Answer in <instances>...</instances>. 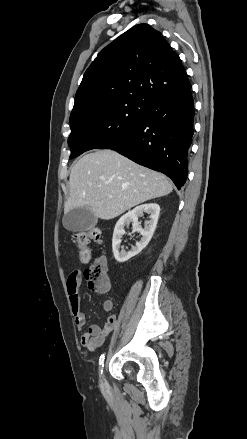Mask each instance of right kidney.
Returning a JSON list of instances; mask_svg holds the SVG:
<instances>
[{"label": "right kidney", "instance_id": "obj_1", "mask_svg": "<svg viewBox=\"0 0 247 439\" xmlns=\"http://www.w3.org/2000/svg\"><path fill=\"white\" fill-rule=\"evenodd\" d=\"M144 213L149 215L150 220L147 221L144 228H142L138 222V218L142 217ZM159 213L160 207L158 204H143L127 212L118 220L114 228L112 239L113 254L118 262L122 263L129 260L139 254L148 245L156 229ZM130 224L133 226V232H139L142 238L135 246H132L130 251L126 252L123 248L120 251L121 239L125 234L124 227L129 226Z\"/></svg>", "mask_w": 247, "mask_h": 439}]
</instances>
